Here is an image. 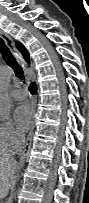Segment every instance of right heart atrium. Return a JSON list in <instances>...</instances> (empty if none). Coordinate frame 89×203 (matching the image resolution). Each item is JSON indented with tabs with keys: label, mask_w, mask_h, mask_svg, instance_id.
<instances>
[{
	"label": "right heart atrium",
	"mask_w": 89,
	"mask_h": 203,
	"mask_svg": "<svg viewBox=\"0 0 89 203\" xmlns=\"http://www.w3.org/2000/svg\"><path fill=\"white\" fill-rule=\"evenodd\" d=\"M23 135L20 134L10 120H2L0 123V142L10 152L17 150L23 143Z\"/></svg>",
	"instance_id": "obj_1"
}]
</instances>
